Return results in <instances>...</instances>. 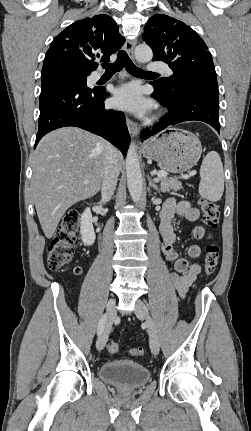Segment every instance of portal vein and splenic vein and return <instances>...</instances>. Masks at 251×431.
<instances>
[{
    "instance_id": "portal-vein-and-splenic-vein-1",
    "label": "portal vein and splenic vein",
    "mask_w": 251,
    "mask_h": 431,
    "mask_svg": "<svg viewBox=\"0 0 251 431\" xmlns=\"http://www.w3.org/2000/svg\"><path fill=\"white\" fill-rule=\"evenodd\" d=\"M163 176H167V172H164V171H162V172H159V173H157V179H156V181H158V179L160 178V177H163ZM189 176H187V175H183L182 176V178L183 179H187ZM84 184H88V181L87 180H85L84 181Z\"/></svg>"
}]
</instances>
